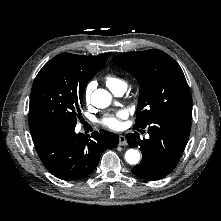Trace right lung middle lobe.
I'll return each instance as SVG.
<instances>
[{
	"label": "right lung middle lobe",
	"mask_w": 221,
	"mask_h": 221,
	"mask_svg": "<svg viewBox=\"0 0 221 221\" xmlns=\"http://www.w3.org/2000/svg\"><path fill=\"white\" fill-rule=\"evenodd\" d=\"M96 72L83 67L81 55L60 54L36 76L30 95L29 121L57 130L75 129L82 117L84 87Z\"/></svg>",
	"instance_id": "obj_1"
}]
</instances>
